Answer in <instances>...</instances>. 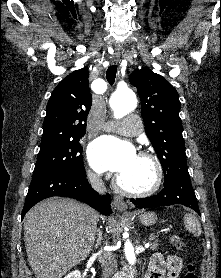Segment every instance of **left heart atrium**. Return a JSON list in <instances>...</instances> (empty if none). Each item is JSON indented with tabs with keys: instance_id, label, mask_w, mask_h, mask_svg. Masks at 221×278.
<instances>
[{
	"instance_id": "39dd6f15",
	"label": "left heart atrium",
	"mask_w": 221,
	"mask_h": 278,
	"mask_svg": "<svg viewBox=\"0 0 221 278\" xmlns=\"http://www.w3.org/2000/svg\"><path fill=\"white\" fill-rule=\"evenodd\" d=\"M135 156V149L130 143L111 136L97 138L88 148L89 162L99 173L120 175Z\"/></svg>"
}]
</instances>
